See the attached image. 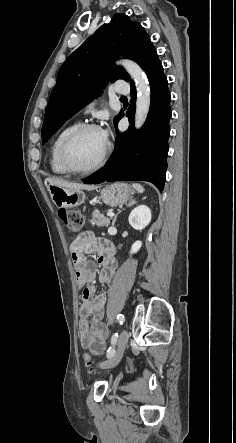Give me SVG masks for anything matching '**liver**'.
<instances>
[{"mask_svg":"<svg viewBox=\"0 0 236 443\" xmlns=\"http://www.w3.org/2000/svg\"><path fill=\"white\" fill-rule=\"evenodd\" d=\"M46 181H48L51 185H56L64 188L74 189V190H92L94 189V186L89 185H83V184H77V183H69L61 179L57 178H47Z\"/></svg>","mask_w":236,"mask_h":443,"instance_id":"1","label":"liver"}]
</instances>
